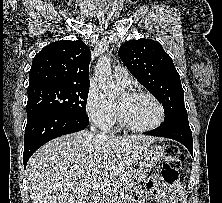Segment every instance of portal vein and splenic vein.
<instances>
[{"mask_svg": "<svg viewBox=\"0 0 222 203\" xmlns=\"http://www.w3.org/2000/svg\"><path fill=\"white\" fill-rule=\"evenodd\" d=\"M126 180H121V181H112V182H101V183H96L94 182L92 184L93 189L95 190H106V191H113L115 192L118 187L122 184H124Z\"/></svg>", "mask_w": 222, "mask_h": 203, "instance_id": "18ae733b", "label": "portal vein and splenic vein"}]
</instances>
